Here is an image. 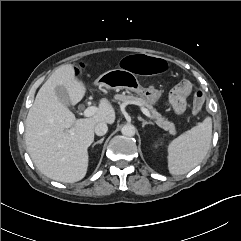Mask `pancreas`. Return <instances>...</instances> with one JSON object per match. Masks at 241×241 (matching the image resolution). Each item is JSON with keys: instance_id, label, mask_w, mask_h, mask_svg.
<instances>
[{"instance_id": "cf45deb5", "label": "pancreas", "mask_w": 241, "mask_h": 241, "mask_svg": "<svg viewBox=\"0 0 241 241\" xmlns=\"http://www.w3.org/2000/svg\"><path fill=\"white\" fill-rule=\"evenodd\" d=\"M115 99L122 101V102H126V103H133L142 107L147 108L152 115V118L155 119V122L158 126H160L161 128H163L164 130L169 131L171 134H175V126L172 122H169L167 120H165V118H163L152 106V104H150L149 102H147L145 99H143L142 97H135L132 95H124V94H118L115 96Z\"/></svg>"}]
</instances>
